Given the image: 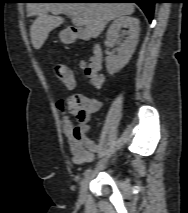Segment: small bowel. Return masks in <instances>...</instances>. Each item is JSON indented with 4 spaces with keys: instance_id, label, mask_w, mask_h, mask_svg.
<instances>
[{
    "instance_id": "obj_1",
    "label": "small bowel",
    "mask_w": 188,
    "mask_h": 213,
    "mask_svg": "<svg viewBox=\"0 0 188 213\" xmlns=\"http://www.w3.org/2000/svg\"><path fill=\"white\" fill-rule=\"evenodd\" d=\"M101 107L102 101L99 98L84 94H73L58 104L59 110L64 114L63 127L70 141L72 161L76 164L92 162L99 150V146L87 136V130L91 114ZM65 113L75 114L78 125L74 126Z\"/></svg>"
}]
</instances>
